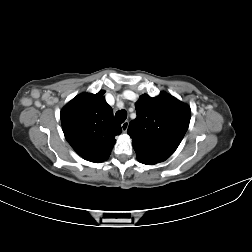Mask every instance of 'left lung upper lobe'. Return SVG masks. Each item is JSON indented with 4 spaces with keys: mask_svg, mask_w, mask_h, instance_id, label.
<instances>
[{
    "mask_svg": "<svg viewBox=\"0 0 252 252\" xmlns=\"http://www.w3.org/2000/svg\"><path fill=\"white\" fill-rule=\"evenodd\" d=\"M137 117L128 127L136 156L156 163L165 161L177 149L189 123L190 107L172 95L140 96Z\"/></svg>",
    "mask_w": 252,
    "mask_h": 252,
    "instance_id": "5c2ea615",
    "label": "left lung upper lobe"
}]
</instances>
